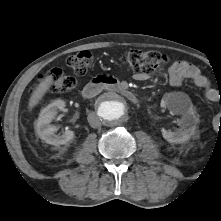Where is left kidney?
<instances>
[{
	"label": "left kidney",
	"mask_w": 221,
	"mask_h": 221,
	"mask_svg": "<svg viewBox=\"0 0 221 221\" xmlns=\"http://www.w3.org/2000/svg\"><path fill=\"white\" fill-rule=\"evenodd\" d=\"M160 105L175 115H181L178 120L179 129L176 132L162 129L163 138L169 143L176 144L189 140L194 134L198 122L189 96L182 92L165 93Z\"/></svg>",
	"instance_id": "left-kidney-1"
}]
</instances>
